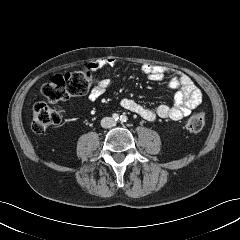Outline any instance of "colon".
Here are the masks:
<instances>
[{
  "label": "colon",
  "instance_id": "5ec220e1",
  "mask_svg": "<svg viewBox=\"0 0 240 240\" xmlns=\"http://www.w3.org/2000/svg\"><path fill=\"white\" fill-rule=\"evenodd\" d=\"M92 84L93 79L90 74L76 71L54 76L42 86L41 92L50 103H57L70 97L87 94ZM62 118L63 110L61 108L38 103L33 107L31 127L33 131L42 133L48 128L60 124ZM204 125L205 117L203 113L199 112L188 119L186 129L190 133H197L203 129Z\"/></svg>",
  "mask_w": 240,
  "mask_h": 240
}]
</instances>
